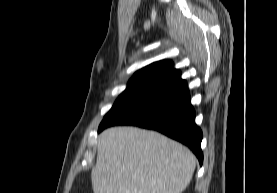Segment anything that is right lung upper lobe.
Returning a JSON list of instances; mask_svg holds the SVG:
<instances>
[{"label":"right lung upper lobe","instance_id":"right-lung-upper-lobe-1","mask_svg":"<svg viewBox=\"0 0 277 193\" xmlns=\"http://www.w3.org/2000/svg\"><path fill=\"white\" fill-rule=\"evenodd\" d=\"M173 66L170 60H161L138 70L128 82L125 91L150 94L181 81V72Z\"/></svg>","mask_w":277,"mask_h":193}]
</instances>
